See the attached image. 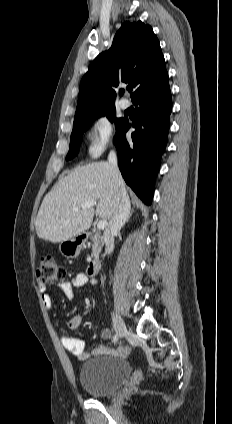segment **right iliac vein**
I'll list each match as a JSON object with an SVG mask.
<instances>
[{"instance_id": "right-iliac-vein-1", "label": "right iliac vein", "mask_w": 232, "mask_h": 424, "mask_svg": "<svg viewBox=\"0 0 232 424\" xmlns=\"http://www.w3.org/2000/svg\"><path fill=\"white\" fill-rule=\"evenodd\" d=\"M112 320L116 333L120 337L125 336L128 333V330L121 316L117 312H112Z\"/></svg>"}]
</instances>
